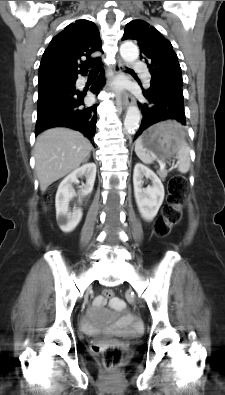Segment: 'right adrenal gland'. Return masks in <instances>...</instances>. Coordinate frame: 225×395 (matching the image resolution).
Returning <instances> with one entry per match:
<instances>
[{
	"label": "right adrenal gland",
	"instance_id": "obj_1",
	"mask_svg": "<svg viewBox=\"0 0 225 395\" xmlns=\"http://www.w3.org/2000/svg\"><path fill=\"white\" fill-rule=\"evenodd\" d=\"M90 158V155L87 157L86 161Z\"/></svg>",
	"mask_w": 225,
	"mask_h": 395
}]
</instances>
